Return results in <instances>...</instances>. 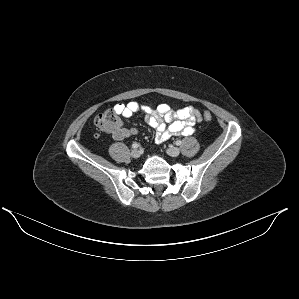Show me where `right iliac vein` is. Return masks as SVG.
I'll use <instances>...</instances> for the list:
<instances>
[{
    "instance_id": "63e3f726",
    "label": "right iliac vein",
    "mask_w": 299,
    "mask_h": 299,
    "mask_svg": "<svg viewBox=\"0 0 299 299\" xmlns=\"http://www.w3.org/2000/svg\"><path fill=\"white\" fill-rule=\"evenodd\" d=\"M140 155H141V152H140L138 149H133V150L131 151V156H132L133 158H139Z\"/></svg>"
}]
</instances>
